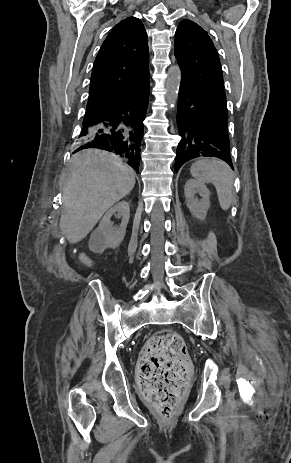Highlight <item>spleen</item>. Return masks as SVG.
<instances>
[{"label":"spleen","mask_w":291,"mask_h":463,"mask_svg":"<svg viewBox=\"0 0 291 463\" xmlns=\"http://www.w3.org/2000/svg\"><path fill=\"white\" fill-rule=\"evenodd\" d=\"M191 175L199 182L212 183L223 210H228L233 199V172L223 161L202 159L193 163Z\"/></svg>","instance_id":"spleen-1"}]
</instances>
